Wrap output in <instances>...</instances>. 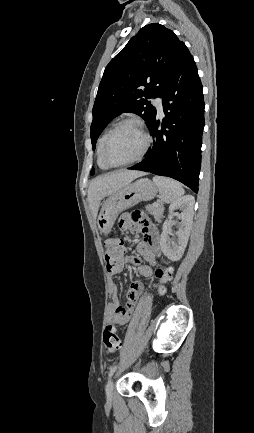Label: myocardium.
Segmentation results:
<instances>
[{"label":"myocardium","instance_id":"myocardium-1","mask_svg":"<svg viewBox=\"0 0 254 433\" xmlns=\"http://www.w3.org/2000/svg\"><path fill=\"white\" fill-rule=\"evenodd\" d=\"M125 125H134L136 126L139 131L142 133L143 137H144V145L142 150L140 151V153L134 157L133 159L123 162V163H113L110 162L106 159L105 157V147L109 141V139L111 138V136L117 131L119 130L121 127L125 126ZM152 143V138L151 135L149 134L148 130L146 129V127L144 126V124L138 120V119H134V118H128V119H124L122 121H120L117 125H115L105 136L102 145H101V149H100V158L103 161L104 164H106L108 167L110 168H117V167H124V166H128L131 164H134L138 161H140L141 159H143V157L146 155V153L148 152L150 146Z\"/></svg>","mask_w":254,"mask_h":433}]
</instances>
